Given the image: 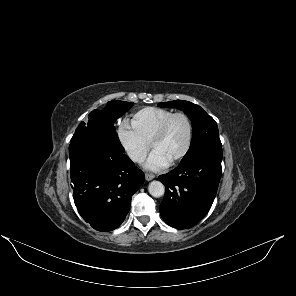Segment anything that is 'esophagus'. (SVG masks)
<instances>
[{"mask_svg":"<svg viewBox=\"0 0 296 296\" xmlns=\"http://www.w3.org/2000/svg\"><path fill=\"white\" fill-rule=\"evenodd\" d=\"M155 178V175H153V174H149V173H146L145 174V179L147 180V181H150V180H152V179H154Z\"/></svg>","mask_w":296,"mask_h":296,"instance_id":"obj_1","label":"esophagus"}]
</instances>
